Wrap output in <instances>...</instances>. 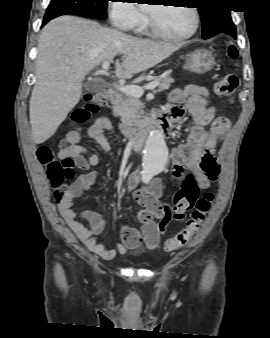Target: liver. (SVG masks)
I'll return each instance as SVG.
<instances>
[{
  "instance_id": "obj_1",
  "label": "liver",
  "mask_w": 270,
  "mask_h": 338,
  "mask_svg": "<svg viewBox=\"0 0 270 338\" xmlns=\"http://www.w3.org/2000/svg\"><path fill=\"white\" fill-rule=\"evenodd\" d=\"M181 43L139 39L74 16L50 21L41 31L30 124L36 144L48 140L79 102L84 77L104 61H116V76L131 78L172 55Z\"/></svg>"
}]
</instances>
